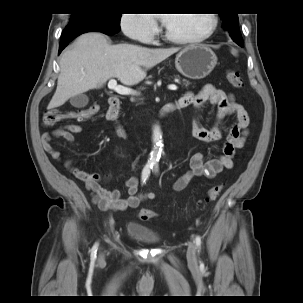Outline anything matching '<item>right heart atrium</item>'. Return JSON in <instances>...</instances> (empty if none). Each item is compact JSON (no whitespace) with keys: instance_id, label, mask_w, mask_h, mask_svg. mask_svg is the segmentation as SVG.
<instances>
[{"instance_id":"1","label":"right heart atrium","mask_w":303,"mask_h":303,"mask_svg":"<svg viewBox=\"0 0 303 303\" xmlns=\"http://www.w3.org/2000/svg\"><path fill=\"white\" fill-rule=\"evenodd\" d=\"M120 29L131 39L150 43L156 26L153 20L144 14H123L120 18Z\"/></svg>"}]
</instances>
